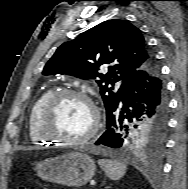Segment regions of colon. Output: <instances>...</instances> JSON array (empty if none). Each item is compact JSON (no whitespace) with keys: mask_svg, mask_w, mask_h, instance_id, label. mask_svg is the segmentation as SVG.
Segmentation results:
<instances>
[{"mask_svg":"<svg viewBox=\"0 0 188 189\" xmlns=\"http://www.w3.org/2000/svg\"><path fill=\"white\" fill-rule=\"evenodd\" d=\"M18 189H28L26 186H20Z\"/></svg>","mask_w":188,"mask_h":189,"instance_id":"5ec220e1","label":"colon"}]
</instances>
